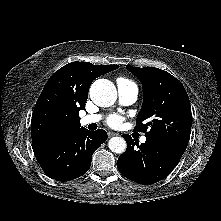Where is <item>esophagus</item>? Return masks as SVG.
<instances>
[{
  "label": "esophagus",
  "mask_w": 221,
  "mask_h": 221,
  "mask_svg": "<svg viewBox=\"0 0 221 221\" xmlns=\"http://www.w3.org/2000/svg\"><path fill=\"white\" fill-rule=\"evenodd\" d=\"M117 135H119V134L116 133V132H111V131L108 132V137H109V138H110V137H113V136H117Z\"/></svg>",
  "instance_id": "esophagus-1"
}]
</instances>
